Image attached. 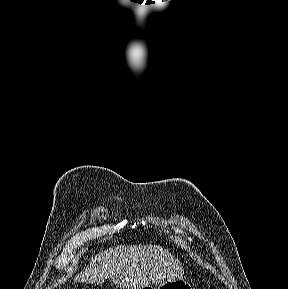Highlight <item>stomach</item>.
Segmentation results:
<instances>
[{"instance_id": "obj_1", "label": "stomach", "mask_w": 288, "mask_h": 289, "mask_svg": "<svg viewBox=\"0 0 288 289\" xmlns=\"http://www.w3.org/2000/svg\"><path fill=\"white\" fill-rule=\"evenodd\" d=\"M146 289H155L152 286L146 287ZM157 289H193L192 285L183 280V279H178V280H171V281H166L163 282L162 284H159Z\"/></svg>"}]
</instances>
